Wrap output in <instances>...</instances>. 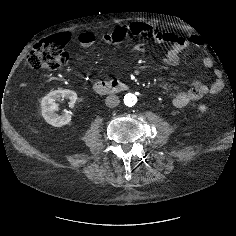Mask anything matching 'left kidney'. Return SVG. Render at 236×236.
Instances as JSON below:
<instances>
[{
  "mask_svg": "<svg viewBox=\"0 0 236 236\" xmlns=\"http://www.w3.org/2000/svg\"><path fill=\"white\" fill-rule=\"evenodd\" d=\"M198 109L201 111V112H205L207 110V106L202 104V105H199L198 106Z\"/></svg>",
  "mask_w": 236,
  "mask_h": 236,
  "instance_id": "1",
  "label": "left kidney"
}]
</instances>
